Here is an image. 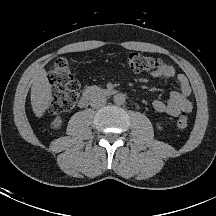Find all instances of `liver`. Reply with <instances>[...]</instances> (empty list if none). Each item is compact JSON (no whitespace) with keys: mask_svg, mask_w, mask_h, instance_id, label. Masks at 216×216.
<instances>
[{"mask_svg":"<svg viewBox=\"0 0 216 216\" xmlns=\"http://www.w3.org/2000/svg\"><path fill=\"white\" fill-rule=\"evenodd\" d=\"M31 105L36 117L44 115L52 99V89L44 68L38 69L32 78Z\"/></svg>","mask_w":216,"mask_h":216,"instance_id":"obj_1","label":"liver"}]
</instances>
